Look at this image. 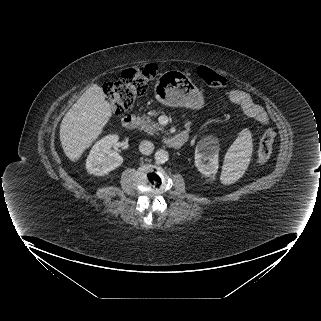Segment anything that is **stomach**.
Instances as JSON below:
<instances>
[{"label":"stomach","mask_w":321,"mask_h":321,"mask_svg":"<svg viewBox=\"0 0 321 321\" xmlns=\"http://www.w3.org/2000/svg\"><path fill=\"white\" fill-rule=\"evenodd\" d=\"M154 92L157 101L166 106H182L193 110L204 107L201 91L185 73L178 70L161 74L154 86Z\"/></svg>","instance_id":"obj_1"}]
</instances>
